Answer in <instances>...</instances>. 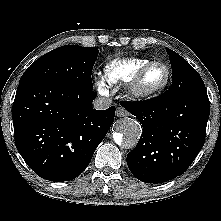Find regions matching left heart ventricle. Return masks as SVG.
I'll use <instances>...</instances> for the list:
<instances>
[{
    "instance_id": "left-heart-ventricle-1",
    "label": "left heart ventricle",
    "mask_w": 221,
    "mask_h": 221,
    "mask_svg": "<svg viewBox=\"0 0 221 221\" xmlns=\"http://www.w3.org/2000/svg\"><path fill=\"white\" fill-rule=\"evenodd\" d=\"M166 77V70L163 66L153 67L144 78V85L148 88L159 86Z\"/></svg>"
}]
</instances>
